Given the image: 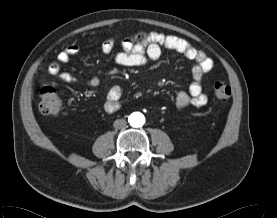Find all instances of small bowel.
<instances>
[{
    "mask_svg": "<svg viewBox=\"0 0 277 218\" xmlns=\"http://www.w3.org/2000/svg\"><path fill=\"white\" fill-rule=\"evenodd\" d=\"M163 47L179 52L187 59L197 63L192 70V82L189 85V89L187 92H180L177 95V103L180 106L188 104L201 106L206 104L207 96L202 91L201 81L203 75L211 70L213 62L202 51L193 47L187 40L181 37L153 33L150 35L149 43L146 46H133L130 42H124L123 50L116 55V61L118 64L126 67L143 66L159 59ZM102 50L105 54H110L113 50L112 43L109 41L105 42ZM78 53L79 47L77 45L72 44L67 46L48 65V72L65 82H70L72 77L68 72L64 71L63 65L68 63ZM99 83L100 80L96 76L89 79V85L92 87L99 85ZM120 94L119 88L114 87L111 89L109 92L110 101H116Z\"/></svg>",
    "mask_w": 277,
    "mask_h": 218,
    "instance_id": "1",
    "label": "small bowel"
}]
</instances>
